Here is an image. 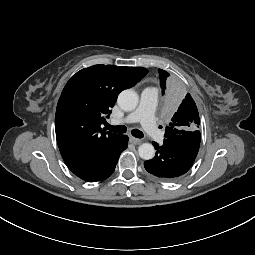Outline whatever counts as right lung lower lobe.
<instances>
[{"label": "right lung lower lobe", "instance_id": "right-lung-lower-lobe-1", "mask_svg": "<svg viewBox=\"0 0 255 255\" xmlns=\"http://www.w3.org/2000/svg\"><path fill=\"white\" fill-rule=\"evenodd\" d=\"M128 136L123 135L120 143L111 150L97 153L86 163L71 171L86 182H97L111 176L120 154L127 148Z\"/></svg>", "mask_w": 255, "mask_h": 255}]
</instances>
